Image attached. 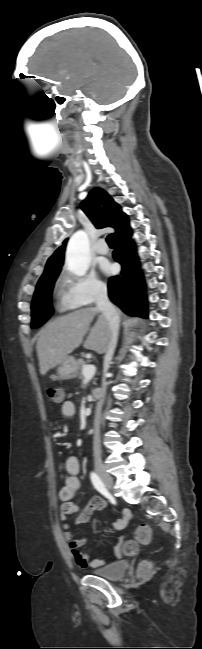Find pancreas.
<instances>
[{
	"instance_id": "1",
	"label": "pancreas",
	"mask_w": 202,
	"mask_h": 649,
	"mask_svg": "<svg viewBox=\"0 0 202 649\" xmlns=\"http://www.w3.org/2000/svg\"><path fill=\"white\" fill-rule=\"evenodd\" d=\"M78 365H79V369H78L77 375H78L80 378H82V369H83V367L86 365V362H85L84 360H79V361H78Z\"/></svg>"
}]
</instances>
